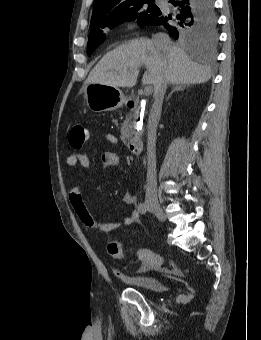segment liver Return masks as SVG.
Segmentation results:
<instances>
[{
    "label": "liver",
    "mask_w": 261,
    "mask_h": 340,
    "mask_svg": "<svg viewBox=\"0 0 261 340\" xmlns=\"http://www.w3.org/2000/svg\"><path fill=\"white\" fill-rule=\"evenodd\" d=\"M145 66L142 83L154 88L162 81L171 84H200L211 78L210 69L193 62L179 47L159 52L153 40L135 39L108 52L89 73L85 85L105 84L115 87L136 85L140 68Z\"/></svg>",
    "instance_id": "1"
}]
</instances>
